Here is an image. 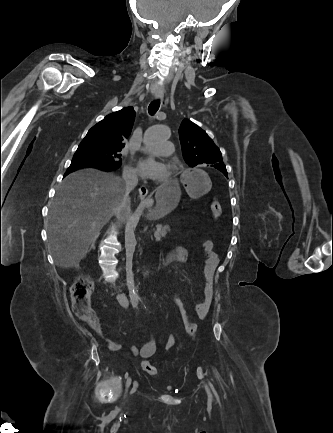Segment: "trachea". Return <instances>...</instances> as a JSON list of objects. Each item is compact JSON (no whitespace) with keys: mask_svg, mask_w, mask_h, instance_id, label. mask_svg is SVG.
Wrapping results in <instances>:
<instances>
[{"mask_svg":"<svg viewBox=\"0 0 333 433\" xmlns=\"http://www.w3.org/2000/svg\"><path fill=\"white\" fill-rule=\"evenodd\" d=\"M159 107H160V101L159 100L152 101L148 107L149 114L154 115L158 111Z\"/></svg>","mask_w":333,"mask_h":433,"instance_id":"obj_1","label":"trachea"}]
</instances>
